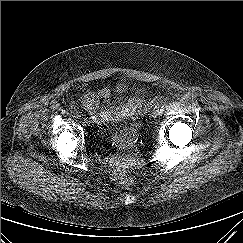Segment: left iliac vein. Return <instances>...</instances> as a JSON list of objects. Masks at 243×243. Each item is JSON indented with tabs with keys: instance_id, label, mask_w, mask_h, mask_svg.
<instances>
[{
	"instance_id": "left-iliac-vein-1",
	"label": "left iliac vein",
	"mask_w": 243,
	"mask_h": 243,
	"mask_svg": "<svg viewBox=\"0 0 243 243\" xmlns=\"http://www.w3.org/2000/svg\"><path fill=\"white\" fill-rule=\"evenodd\" d=\"M162 114V112L159 110V109H156L155 111H154V115H155V117H158V116H160Z\"/></svg>"
}]
</instances>
